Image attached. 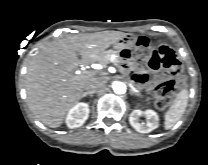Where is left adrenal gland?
Instances as JSON below:
<instances>
[{
  "instance_id": "a2214340",
  "label": "left adrenal gland",
  "mask_w": 208,
  "mask_h": 165,
  "mask_svg": "<svg viewBox=\"0 0 208 165\" xmlns=\"http://www.w3.org/2000/svg\"><path fill=\"white\" fill-rule=\"evenodd\" d=\"M130 93L135 94L136 96H140V93L136 89H134L133 87H131Z\"/></svg>"
}]
</instances>
